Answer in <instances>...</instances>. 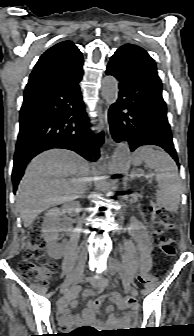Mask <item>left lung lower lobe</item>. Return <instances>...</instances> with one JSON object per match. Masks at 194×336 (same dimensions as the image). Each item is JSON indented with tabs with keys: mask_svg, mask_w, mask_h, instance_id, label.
<instances>
[{
	"mask_svg": "<svg viewBox=\"0 0 194 336\" xmlns=\"http://www.w3.org/2000/svg\"><path fill=\"white\" fill-rule=\"evenodd\" d=\"M106 74L118 80L120 90L118 101L111 106L108 115L114 140L127 141L131 151L143 145L160 146L178 164L162 86L127 49L115 52Z\"/></svg>",
	"mask_w": 194,
	"mask_h": 336,
	"instance_id": "left-lung-lower-lobe-1",
	"label": "left lung lower lobe"
}]
</instances>
